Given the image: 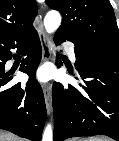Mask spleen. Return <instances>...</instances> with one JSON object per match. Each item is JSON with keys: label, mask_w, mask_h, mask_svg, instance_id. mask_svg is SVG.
Here are the masks:
<instances>
[{"label": "spleen", "mask_w": 119, "mask_h": 141, "mask_svg": "<svg viewBox=\"0 0 119 141\" xmlns=\"http://www.w3.org/2000/svg\"><path fill=\"white\" fill-rule=\"evenodd\" d=\"M81 141H106V140L101 137H89V138L83 139Z\"/></svg>", "instance_id": "spleen-1"}]
</instances>
